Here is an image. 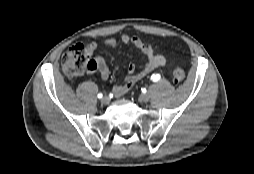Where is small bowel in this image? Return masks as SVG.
Segmentation results:
<instances>
[{
    "label": "small bowel",
    "instance_id": "obj_1",
    "mask_svg": "<svg viewBox=\"0 0 254 174\" xmlns=\"http://www.w3.org/2000/svg\"><path fill=\"white\" fill-rule=\"evenodd\" d=\"M121 42L123 44H130L135 49L140 51L146 58L143 68L139 73H135L134 65L130 64L127 68L128 76L122 84L113 87V94L116 97H120L128 93L134 85L144 76L152 72L153 70L163 67L167 64V59L158 54L153 46L137 36L123 35L121 36ZM117 45L115 39H107L103 42H92L87 45V53L91 57V61L94 64V69L91 71H96L100 74L101 78L104 80L109 79L110 70L106 64L105 59L96 53L98 48H113Z\"/></svg>",
    "mask_w": 254,
    "mask_h": 174
}]
</instances>
